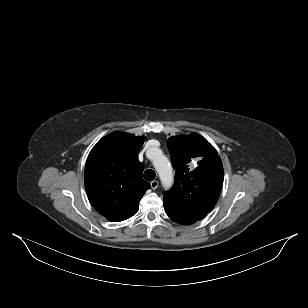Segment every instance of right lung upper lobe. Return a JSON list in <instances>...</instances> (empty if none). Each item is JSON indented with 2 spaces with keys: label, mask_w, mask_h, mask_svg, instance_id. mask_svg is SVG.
Here are the masks:
<instances>
[{
  "label": "right lung upper lobe",
  "mask_w": 308,
  "mask_h": 308,
  "mask_svg": "<svg viewBox=\"0 0 308 308\" xmlns=\"http://www.w3.org/2000/svg\"><path fill=\"white\" fill-rule=\"evenodd\" d=\"M143 136L114 132L91 150L85 165L84 183L91 205L113 222L136 214L150 184L142 178L144 166L138 152Z\"/></svg>",
  "instance_id": "right-lung-upper-lobe-1"
}]
</instances>
